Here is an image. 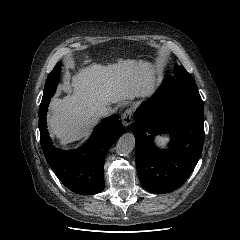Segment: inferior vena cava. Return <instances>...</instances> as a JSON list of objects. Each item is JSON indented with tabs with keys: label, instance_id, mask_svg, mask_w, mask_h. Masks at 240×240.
<instances>
[{
	"label": "inferior vena cava",
	"instance_id": "1",
	"mask_svg": "<svg viewBox=\"0 0 240 240\" xmlns=\"http://www.w3.org/2000/svg\"><path fill=\"white\" fill-rule=\"evenodd\" d=\"M91 110L96 117L104 116L109 113V108L104 103H94L91 105Z\"/></svg>",
	"mask_w": 240,
	"mask_h": 240
}]
</instances>
